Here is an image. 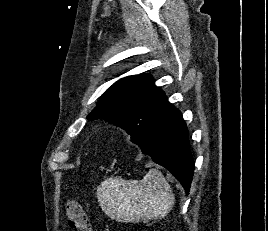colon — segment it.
I'll use <instances>...</instances> for the list:
<instances>
[{
  "instance_id": "colon-1",
  "label": "colon",
  "mask_w": 268,
  "mask_h": 231,
  "mask_svg": "<svg viewBox=\"0 0 268 231\" xmlns=\"http://www.w3.org/2000/svg\"><path fill=\"white\" fill-rule=\"evenodd\" d=\"M66 215L68 217L69 226L73 231L88 230V217L79 202L75 200L68 201L66 204Z\"/></svg>"
}]
</instances>
